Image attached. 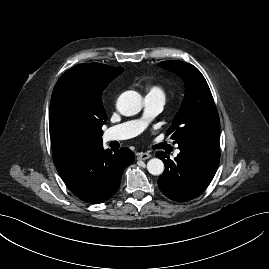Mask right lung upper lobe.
<instances>
[{"label":"right lung upper lobe","mask_w":269,"mask_h":269,"mask_svg":"<svg viewBox=\"0 0 269 269\" xmlns=\"http://www.w3.org/2000/svg\"><path fill=\"white\" fill-rule=\"evenodd\" d=\"M122 67H110L100 63L79 64L66 71L57 81L51 98L49 126L54 164L66 162L82 152L102 146L101 128L107 120L102 104V93L107 85L123 72ZM92 128V135L81 149L62 155L55 140L56 120L61 105Z\"/></svg>","instance_id":"1"}]
</instances>
